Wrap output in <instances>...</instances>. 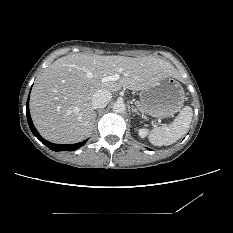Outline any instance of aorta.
Returning a JSON list of instances; mask_svg holds the SVG:
<instances>
[{"mask_svg": "<svg viewBox=\"0 0 233 233\" xmlns=\"http://www.w3.org/2000/svg\"><path fill=\"white\" fill-rule=\"evenodd\" d=\"M125 110H126V106H125L124 102H122V101H116L113 104V111L115 113H123Z\"/></svg>", "mask_w": 233, "mask_h": 233, "instance_id": "762f6f07", "label": "aorta"}]
</instances>
